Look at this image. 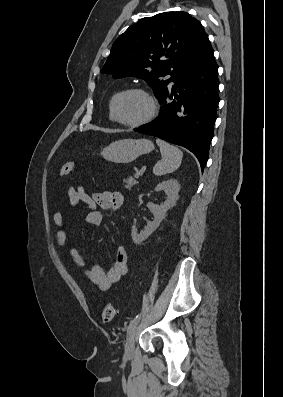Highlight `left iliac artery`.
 <instances>
[{
	"label": "left iliac artery",
	"instance_id": "obj_1",
	"mask_svg": "<svg viewBox=\"0 0 283 397\" xmlns=\"http://www.w3.org/2000/svg\"><path fill=\"white\" fill-rule=\"evenodd\" d=\"M140 319L139 315H137L133 320H131L129 327L137 323V321Z\"/></svg>",
	"mask_w": 283,
	"mask_h": 397
}]
</instances>
